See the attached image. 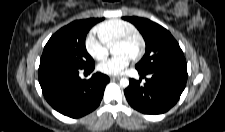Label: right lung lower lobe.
<instances>
[{
	"mask_svg": "<svg viewBox=\"0 0 225 132\" xmlns=\"http://www.w3.org/2000/svg\"><path fill=\"white\" fill-rule=\"evenodd\" d=\"M92 72L88 68H75L64 65H40L39 83L47 102L61 114L78 118L98 107L109 82V77L95 73L89 80H82L79 71Z\"/></svg>",
	"mask_w": 225,
	"mask_h": 132,
	"instance_id": "obj_1",
	"label": "right lung lower lobe"
}]
</instances>
